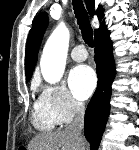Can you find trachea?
<instances>
[{"mask_svg":"<svg viewBox=\"0 0 139 150\" xmlns=\"http://www.w3.org/2000/svg\"><path fill=\"white\" fill-rule=\"evenodd\" d=\"M73 9L76 15L78 25L81 29L83 40L89 47H93V31L90 25L88 13L84 7L82 0H72Z\"/></svg>","mask_w":139,"mask_h":150,"instance_id":"1","label":"trachea"}]
</instances>
